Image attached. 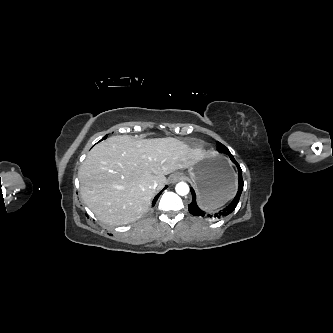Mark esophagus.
I'll return each instance as SVG.
<instances>
[{
  "label": "esophagus",
  "mask_w": 333,
  "mask_h": 333,
  "mask_svg": "<svg viewBox=\"0 0 333 333\" xmlns=\"http://www.w3.org/2000/svg\"><path fill=\"white\" fill-rule=\"evenodd\" d=\"M182 176L179 173H175L171 176L170 182L176 183L177 181L181 180Z\"/></svg>",
  "instance_id": "esophagus-1"
}]
</instances>
